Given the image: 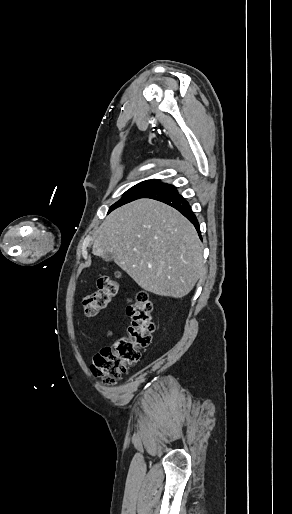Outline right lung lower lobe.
Here are the masks:
<instances>
[{
  "mask_svg": "<svg viewBox=\"0 0 292 514\" xmlns=\"http://www.w3.org/2000/svg\"><path fill=\"white\" fill-rule=\"evenodd\" d=\"M142 198H151L166 203L177 209L191 223L194 224L199 237H201L199 223L191 210L189 203L180 195L177 189L170 184L160 183L148 191Z\"/></svg>",
  "mask_w": 292,
  "mask_h": 514,
  "instance_id": "obj_1",
  "label": "right lung lower lobe"
}]
</instances>
